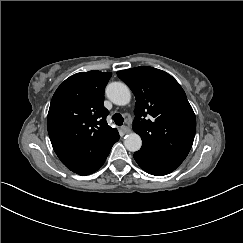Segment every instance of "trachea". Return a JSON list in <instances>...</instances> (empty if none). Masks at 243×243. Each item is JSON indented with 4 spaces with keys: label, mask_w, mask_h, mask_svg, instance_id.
I'll return each mask as SVG.
<instances>
[{
    "label": "trachea",
    "mask_w": 243,
    "mask_h": 243,
    "mask_svg": "<svg viewBox=\"0 0 243 243\" xmlns=\"http://www.w3.org/2000/svg\"><path fill=\"white\" fill-rule=\"evenodd\" d=\"M112 119L115 122V124L118 125V126H121L124 122L123 117L118 113L114 114Z\"/></svg>",
    "instance_id": "1"
}]
</instances>
